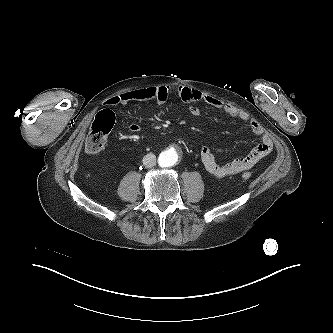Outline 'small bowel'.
<instances>
[{
    "mask_svg": "<svg viewBox=\"0 0 333 333\" xmlns=\"http://www.w3.org/2000/svg\"><path fill=\"white\" fill-rule=\"evenodd\" d=\"M171 89L168 86H154L127 91L109 98L105 104L116 106L127 104L132 101H153L164 103L170 96ZM179 98L190 106L193 114L198 113L196 103L205 102L208 105L223 111L232 118H237L246 123L252 133L261 137V142L255 146L251 152L241 158L234 159L225 164H219L209 147L204 146L200 150V158L205 170L216 178L232 176L254 167L262 158L271 153L273 142L265 132L262 125L256 121L248 112L241 110L229 103H226L214 96L188 86H181L178 89ZM128 129L132 133H138L141 127L136 123H131Z\"/></svg>",
    "mask_w": 333,
    "mask_h": 333,
    "instance_id": "obj_1",
    "label": "small bowel"
}]
</instances>
